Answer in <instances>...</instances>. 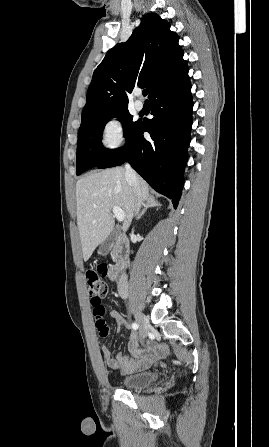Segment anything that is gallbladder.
<instances>
[{
  "instance_id": "1",
  "label": "gallbladder",
  "mask_w": 269,
  "mask_h": 447,
  "mask_svg": "<svg viewBox=\"0 0 269 447\" xmlns=\"http://www.w3.org/2000/svg\"><path fill=\"white\" fill-rule=\"evenodd\" d=\"M116 237H117V229H113L109 237H106L105 241H102L98 253H100V255H107L110 249H112L116 241Z\"/></svg>"
}]
</instances>
